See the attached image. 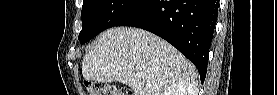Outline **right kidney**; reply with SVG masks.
I'll use <instances>...</instances> for the list:
<instances>
[{
    "label": "right kidney",
    "mask_w": 277,
    "mask_h": 95,
    "mask_svg": "<svg viewBox=\"0 0 277 95\" xmlns=\"http://www.w3.org/2000/svg\"><path fill=\"white\" fill-rule=\"evenodd\" d=\"M190 91V87L179 82L168 87L162 95H195L194 93H190Z\"/></svg>",
    "instance_id": "obj_1"
}]
</instances>
